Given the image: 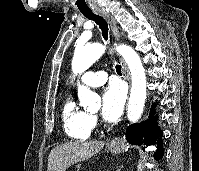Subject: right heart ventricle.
I'll return each mask as SVG.
<instances>
[{
	"instance_id": "obj_1",
	"label": "right heart ventricle",
	"mask_w": 199,
	"mask_h": 171,
	"mask_svg": "<svg viewBox=\"0 0 199 171\" xmlns=\"http://www.w3.org/2000/svg\"><path fill=\"white\" fill-rule=\"evenodd\" d=\"M62 122L65 134L72 139L86 140L92 133L91 115L81 110L71 95L63 103Z\"/></svg>"
}]
</instances>
